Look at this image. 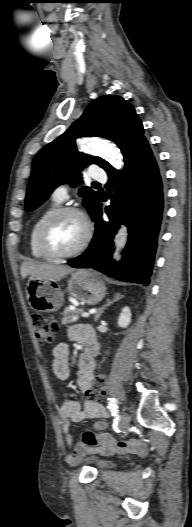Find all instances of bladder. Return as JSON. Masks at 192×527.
Returning <instances> with one entry per match:
<instances>
[{
  "label": "bladder",
  "mask_w": 192,
  "mask_h": 527,
  "mask_svg": "<svg viewBox=\"0 0 192 527\" xmlns=\"http://www.w3.org/2000/svg\"><path fill=\"white\" fill-rule=\"evenodd\" d=\"M93 461H94V465L97 469H103V468H106L108 466H110L112 464V461L109 460V459H105V458H97V457H94L92 458Z\"/></svg>",
  "instance_id": "31cf9c89"
}]
</instances>
